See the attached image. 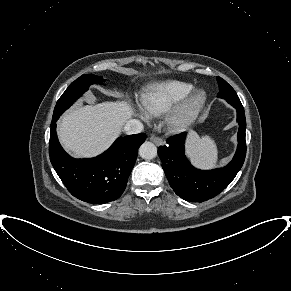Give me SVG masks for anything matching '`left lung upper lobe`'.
<instances>
[{
    "mask_svg": "<svg viewBox=\"0 0 291 291\" xmlns=\"http://www.w3.org/2000/svg\"><path fill=\"white\" fill-rule=\"evenodd\" d=\"M217 81L219 85V93L217 94V96L219 98L226 99L227 102L230 103L232 106L241 104L236 92L225 80L217 77Z\"/></svg>",
    "mask_w": 291,
    "mask_h": 291,
    "instance_id": "1",
    "label": "left lung upper lobe"
}]
</instances>
